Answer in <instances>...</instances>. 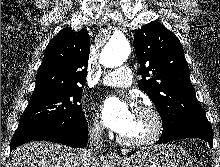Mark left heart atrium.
Returning <instances> with one entry per match:
<instances>
[{
  "label": "left heart atrium",
  "instance_id": "left-heart-atrium-1",
  "mask_svg": "<svg viewBox=\"0 0 220 167\" xmlns=\"http://www.w3.org/2000/svg\"><path fill=\"white\" fill-rule=\"evenodd\" d=\"M134 111L127 101L114 96L105 98L100 105L104 124L120 134L130 126Z\"/></svg>",
  "mask_w": 220,
  "mask_h": 167
}]
</instances>
